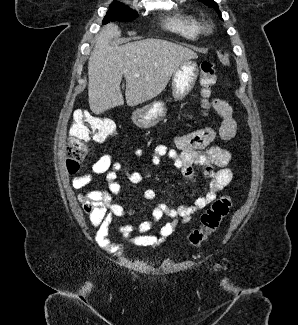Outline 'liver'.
Segmentation results:
<instances>
[{"label":"liver","instance_id":"liver-1","mask_svg":"<svg viewBox=\"0 0 298 325\" xmlns=\"http://www.w3.org/2000/svg\"><path fill=\"white\" fill-rule=\"evenodd\" d=\"M120 32L117 24L109 22L95 36L88 60V102L95 114L124 104L122 76L126 80V102L136 106L161 94L183 60L198 58L192 48L162 38L111 46L112 38Z\"/></svg>","mask_w":298,"mask_h":325}]
</instances>
